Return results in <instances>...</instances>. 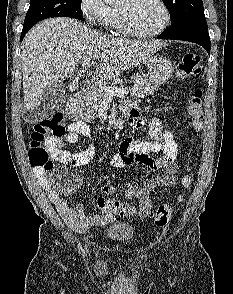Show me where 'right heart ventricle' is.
Instances as JSON below:
<instances>
[{
	"label": "right heart ventricle",
	"instance_id": "right-heart-ventricle-1",
	"mask_svg": "<svg viewBox=\"0 0 233 294\" xmlns=\"http://www.w3.org/2000/svg\"><path fill=\"white\" fill-rule=\"evenodd\" d=\"M111 27L115 28L118 31H123L122 26H121L119 11H117V10H113Z\"/></svg>",
	"mask_w": 233,
	"mask_h": 294
}]
</instances>
